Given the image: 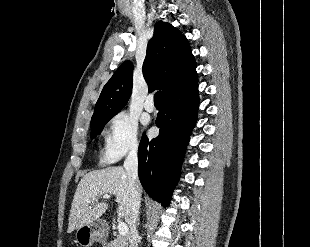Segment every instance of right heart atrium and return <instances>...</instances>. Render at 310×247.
Wrapping results in <instances>:
<instances>
[{"label": "right heart atrium", "instance_id": "right-heart-atrium-1", "mask_svg": "<svg viewBox=\"0 0 310 247\" xmlns=\"http://www.w3.org/2000/svg\"><path fill=\"white\" fill-rule=\"evenodd\" d=\"M138 149L139 130L137 121L124 111L113 116L104 135V160L115 162L127 155L136 154Z\"/></svg>", "mask_w": 310, "mask_h": 247}]
</instances>
